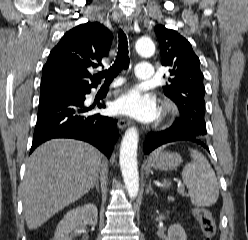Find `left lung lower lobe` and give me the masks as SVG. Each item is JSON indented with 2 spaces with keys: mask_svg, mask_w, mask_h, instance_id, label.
Returning <instances> with one entry per match:
<instances>
[{
  "mask_svg": "<svg viewBox=\"0 0 248 240\" xmlns=\"http://www.w3.org/2000/svg\"><path fill=\"white\" fill-rule=\"evenodd\" d=\"M199 136L201 135L198 132L190 128L172 125L170 128L162 132L149 133L143 145L144 153L148 154L158 146L174 141L194 142L208 150L207 146L199 139Z\"/></svg>",
  "mask_w": 248,
  "mask_h": 240,
  "instance_id": "1",
  "label": "left lung lower lobe"
}]
</instances>
